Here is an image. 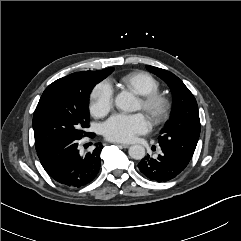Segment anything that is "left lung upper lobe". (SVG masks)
I'll return each mask as SVG.
<instances>
[{"mask_svg": "<svg viewBox=\"0 0 241 241\" xmlns=\"http://www.w3.org/2000/svg\"><path fill=\"white\" fill-rule=\"evenodd\" d=\"M148 69L168 84L174 98L173 114L160 132L159 146L169 149L188 164L200 135L197 102L190 90L173 73L153 66H148Z\"/></svg>", "mask_w": 241, "mask_h": 241, "instance_id": "obj_1", "label": "left lung upper lobe"}]
</instances>
